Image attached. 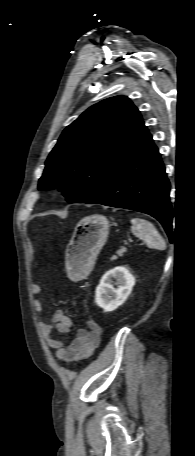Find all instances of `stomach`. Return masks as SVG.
<instances>
[{
  "instance_id": "obj_1",
  "label": "stomach",
  "mask_w": 195,
  "mask_h": 456,
  "mask_svg": "<svg viewBox=\"0 0 195 456\" xmlns=\"http://www.w3.org/2000/svg\"><path fill=\"white\" fill-rule=\"evenodd\" d=\"M109 227L108 219L98 214L84 217L77 223L66 249V266L73 279L80 280L92 271L107 240Z\"/></svg>"
}]
</instances>
